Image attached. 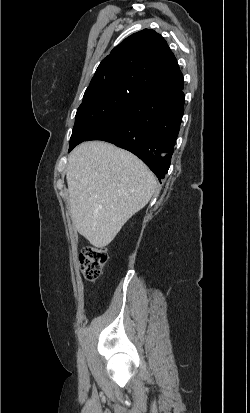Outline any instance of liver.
Instances as JSON below:
<instances>
[{"label":"liver","mask_w":250,"mask_h":413,"mask_svg":"<svg viewBox=\"0 0 250 413\" xmlns=\"http://www.w3.org/2000/svg\"><path fill=\"white\" fill-rule=\"evenodd\" d=\"M66 179L73 225L97 248L111 243L156 188L139 158L103 141L83 142L70 153Z\"/></svg>","instance_id":"obj_1"}]
</instances>
